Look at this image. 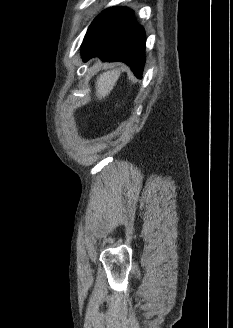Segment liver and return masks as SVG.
Returning a JSON list of instances; mask_svg holds the SVG:
<instances>
[{
  "label": "liver",
  "instance_id": "6515ba94",
  "mask_svg": "<svg viewBox=\"0 0 233 328\" xmlns=\"http://www.w3.org/2000/svg\"><path fill=\"white\" fill-rule=\"evenodd\" d=\"M120 71L111 70L101 74L95 83L96 96L99 100L104 99L112 91L117 80L119 79Z\"/></svg>",
  "mask_w": 233,
  "mask_h": 328
}]
</instances>
